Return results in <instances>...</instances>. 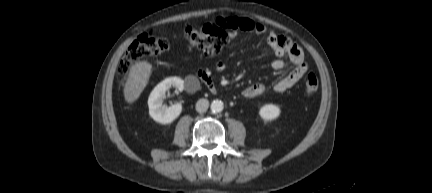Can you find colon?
I'll return each instance as SVG.
<instances>
[{"label":"colon","mask_w":432,"mask_h":193,"mask_svg":"<svg viewBox=\"0 0 432 193\" xmlns=\"http://www.w3.org/2000/svg\"><path fill=\"white\" fill-rule=\"evenodd\" d=\"M229 28L219 21L208 23L201 29L187 28L186 38L190 47L197 48L210 56L219 55L229 40ZM168 49L166 39L154 36L151 33L140 34L129 46L123 55L118 70L127 73L132 65L141 58L154 57ZM319 82L313 73L306 76L304 91L308 95L317 92Z\"/></svg>","instance_id":"colon-1"}]
</instances>
